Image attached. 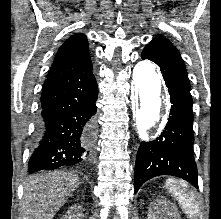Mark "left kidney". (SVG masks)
<instances>
[{"label":"left kidney","instance_id":"left-kidney-1","mask_svg":"<svg viewBox=\"0 0 221 219\" xmlns=\"http://www.w3.org/2000/svg\"><path fill=\"white\" fill-rule=\"evenodd\" d=\"M147 219H177V212L169 201L159 197L151 202Z\"/></svg>","mask_w":221,"mask_h":219}]
</instances>
